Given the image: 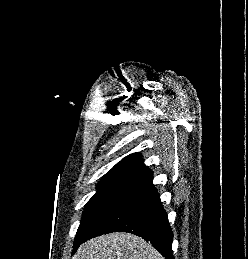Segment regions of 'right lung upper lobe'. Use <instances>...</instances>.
I'll return each instance as SVG.
<instances>
[{"instance_id":"right-lung-upper-lobe-1","label":"right lung upper lobe","mask_w":248,"mask_h":259,"mask_svg":"<svg viewBox=\"0 0 248 259\" xmlns=\"http://www.w3.org/2000/svg\"><path fill=\"white\" fill-rule=\"evenodd\" d=\"M152 176L151 170L143 164L141 154L133 153L118 162L99 182L122 183L134 186Z\"/></svg>"}]
</instances>
